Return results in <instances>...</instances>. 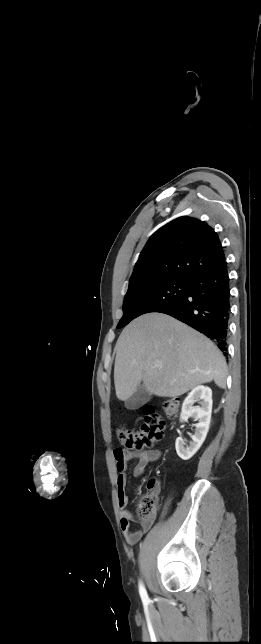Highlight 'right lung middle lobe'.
<instances>
[{
    "instance_id": "obj_1",
    "label": "right lung middle lobe",
    "mask_w": 261,
    "mask_h": 644,
    "mask_svg": "<svg viewBox=\"0 0 261 644\" xmlns=\"http://www.w3.org/2000/svg\"><path fill=\"white\" fill-rule=\"evenodd\" d=\"M188 285V279L168 278L128 289L123 303L124 314L117 328L124 327L142 314L173 306L185 296Z\"/></svg>"
}]
</instances>
